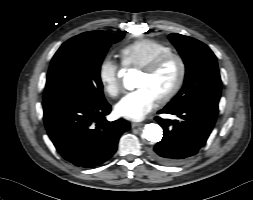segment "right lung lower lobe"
I'll return each mask as SVG.
<instances>
[{"label": "right lung lower lobe", "mask_w": 253, "mask_h": 200, "mask_svg": "<svg viewBox=\"0 0 253 200\" xmlns=\"http://www.w3.org/2000/svg\"><path fill=\"white\" fill-rule=\"evenodd\" d=\"M48 135L60 155L76 166L90 168L107 161L115 153L128 122H109L111 106L104 100L83 104L59 100L43 103Z\"/></svg>", "instance_id": "right-lung-lower-lobe-1"}]
</instances>
